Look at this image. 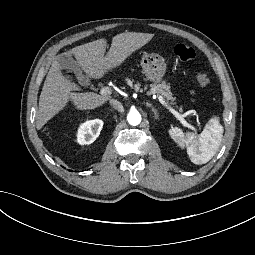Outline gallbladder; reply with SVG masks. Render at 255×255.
Here are the masks:
<instances>
[{
    "mask_svg": "<svg viewBox=\"0 0 255 255\" xmlns=\"http://www.w3.org/2000/svg\"><path fill=\"white\" fill-rule=\"evenodd\" d=\"M56 61L60 69H68L72 71L81 85L85 86L86 82L89 83V79L82 74L81 68L79 67L77 62L72 58L70 53L65 52L57 55Z\"/></svg>",
    "mask_w": 255,
    "mask_h": 255,
    "instance_id": "1",
    "label": "gallbladder"
}]
</instances>
